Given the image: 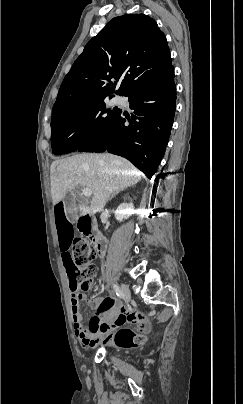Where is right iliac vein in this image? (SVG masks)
<instances>
[{"mask_svg": "<svg viewBox=\"0 0 243 404\" xmlns=\"http://www.w3.org/2000/svg\"><path fill=\"white\" fill-rule=\"evenodd\" d=\"M121 288H122V291H123V294H124V297H125L126 301H129L130 298H131V293H130V290H129L128 286L125 285V284H121Z\"/></svg>", "mask_w": 243, "mask_h": 404, "instance_id": "63e3f726", "label": "right iliac vein"}]
</instances>
